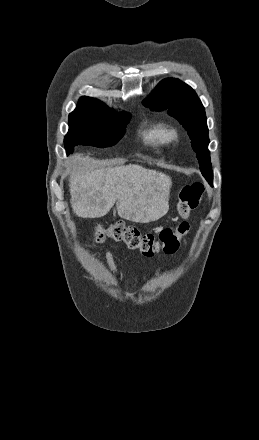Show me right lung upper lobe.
Wrapping results in <instances>:
<instances>
[{"mask_svg":"<svg viewBox=\"0 0 259 440\" xmlns=\"http://www.w3.org/2000/svg\"><path fill=\"white\" fill-rule=\"evenodd\" d=\"M78 106L92 107V108H108L101 101L87 96L80 98Z\"/></svg>","mask_w":259,"mask_h":440,"instance_id":"1","label":"right lung upper lobe"}]
</instances>
